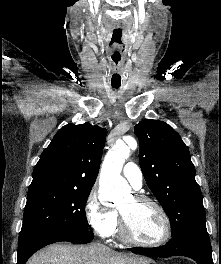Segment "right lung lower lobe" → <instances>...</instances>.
<instances>
[{
  "instance_id": "right-lung-lower-lobe-1",
  "label": "right lung lower lobe",
  "mask_w": 221,
  "mask_h": 264,
  "mask_svg": "<svg viewBox=\"0 0 221 264\" xmlns=\"http://www.w3.org/2000/svg\"><path fill=\"white\" fill-rule=\"evenodd\" d=\"M94 238L91 231L82 233H49L26 237L19 241L17 264H25L37 250L55 242L67 241L86 244Z\"/></svg>"
}]
</instances>
